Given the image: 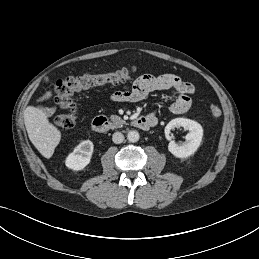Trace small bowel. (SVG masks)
Returning a JSON list of instances; mask_svg holds the SVG:
<instances>
[{
  "label": "small bowel",
  "instance_id": "c3829d8e",
  "mask_svg": "<svg viewBox=\"0 0 259 259\" xmlns=\"http://www.w3.org/2000/svg\"><path fill=\"white\" fill-rule=\"evenodd\" d=\"M162 90H169L176 96L174 102L170 106L171 112L182 114L191 107L194 86L190 82L184 81L174 74H162L158 76L151 74L141 75L131 86H125L122 89L115 91L111 98L116 102H139L144 100L149 93ZM52 97V91H45L38 98V103L47 101ZM38 106L46 116H51L55 112L54 106ZM148 116L156 118L155 113H150Z\"/></svg>",
  "mask_w": 259,
  "mask_h": 259
}]
</instances>
